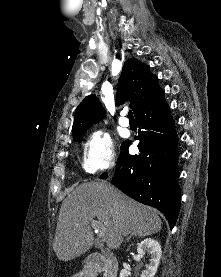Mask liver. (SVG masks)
<instances>
[{"instance_id": "6515ba94", "label": "liver", "mask_w": 221, "mask_h": 277, "mask_svg": "<svg viewBox=\"0 0 221 277\" xmlns=\"http://www.w3.org/2000/svg\"><path fill=\"white\" fill-rule=\"evenodd\" d=\"M97 218L109 249L120 247L127 235L145 237L159 232L157 211L124 195L105 182H87L75 188L59 211L53 250L61 261H70L93 245L90 222Z\"/></svg>"}]
</instances>
